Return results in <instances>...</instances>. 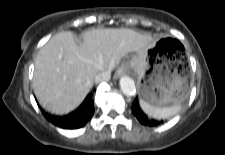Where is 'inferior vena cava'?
Returning <instances> with one entry per match:
<instances>
[{
    "instance_id": "602c4592",
    "label": "inferior vena cava",
    "mask_w": 225,
    "mask_h": 155,
    "mask_svg": "<svg viewBox=\"0 0 225 155\" xmlns=\"http://www.w3.org/2000/svg\"><path fill=\"white\" fill-rule=\"evenodd\" d=\"M110 76H111V72L109 70L102 71L95 76L94 81L96 84H99L101 82H106V81H109Z\"/></svg>"
}]
</instances>
